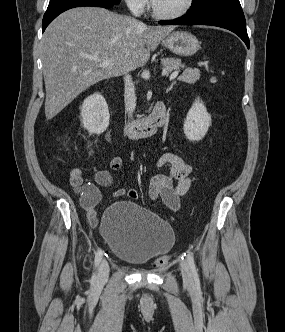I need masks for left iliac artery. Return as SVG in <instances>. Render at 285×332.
Here are the masks:
<instances>
[{
  "label": "left iliac artery",
  "mask_w": 285,
  "mask_h": 332,
  "mask_svg": "<svg viewBox=\"0 0 285 332\" xmlns=\"http://www.w3.org/2000/svg\"><path fill=\"white\" fill-rule=\"evenodd\" d=\"M185 256L187 257V261L190 266L195 283H199V276H198V272H197V268H196V265L194 262V257H193L192 252L187 251V254L185 253Z\"/></svg>",
  "instance_id": "44dca946"
}]
</instances>
